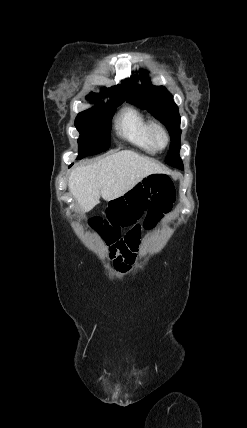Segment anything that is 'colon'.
Wrapping results in <instances>:
<instances>
[{
	"mask_svg": "<svg viewBox=\"0 0 247 428\" xmlns=\"http://www.w3.org/2000/svg\"><path fill=\"white\" fill-rule=\"evenodd\" d=\"M174 186L165 175H151L138 183L128 194H116L103 204V212H92L90 224L95 226L96 237L109 247L111 258L136 251L140 228L149 227L174 201ZM147 217V218H146ZM103 221L104 223H101ZM131 226H134L131 230ZM120 232H127L120 237Z\"/></svg>",
	"mask_w": 247,
	"mask_h": 428,
	"instance_id": "5ec220e1",
	"label": "colon"
}]
</instances>
